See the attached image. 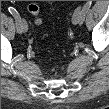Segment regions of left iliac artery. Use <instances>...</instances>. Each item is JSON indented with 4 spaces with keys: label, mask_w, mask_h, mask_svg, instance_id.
<instances>
[{
    "label": "left iliac artery",
    "mask_w": 109,
    "mask_h": 109,
    "mask_svg": "<svg viewBox=\"0 0 109 109\" xmlns=\"http://www.w3.org/2000/svg\"><path fill=\"white\" fill-rule=\"evenodd\" d=\"M91 6V3H86L82 8V14H81V24L83 23L85 19V14L88 12L89 8Z\"/></svg>",
    "instance_id": "1"
}]
</instances>
